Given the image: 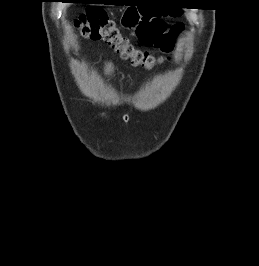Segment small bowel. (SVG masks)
Listing matches in <instances>:
<instances>
[{
  "label": "small bowel",
  "instance_id": "1",
  "mask_svg": "<svg viewBox=\"0 0 259 266\" xmlns=\"http://www.w3.org/2000/svg\"><path fill=\"white\" fill-rule=\"evenodd\" d=\"M114 71V64L110 60H105L103 65V73L106 78L110 79Z\"/></svg>",
  "mask_w": 259,
  "mask_h": 266
}]
</instances>
